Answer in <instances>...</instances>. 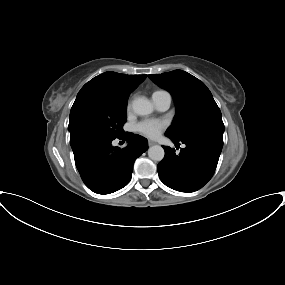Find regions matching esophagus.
<instances>
[{"label": "esophagus", "mask_w": 285, "mask_h": 285, "mask_svg": "<svg viewBox=\"0 0 285 285\" xmlns=\"http://www.w3.org/2000/svg\"><path fill=\"white\" fill-rule=\"evenodd\" d=\"M155 144H156V142H155V141L148 140V145H149V146H153V145H155Z\"/></svg>", "instance_id": "34e87169"}]
</instances>
